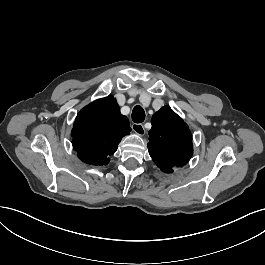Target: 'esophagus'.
Returning <instances> with one entry per match:
<instances>
[{"instance_id": "esophagus-1", "label": "esophagus", "mask_w": 265, "mask_h": 265, "mask_svg": "<svg viewBox=\"0 0 265 265\" xmlns=\"http://www.w3.org/2000/svg\"><path fill=\"white\" fill-rule=\"evenodd\" d=\"M132 130L139 136H144L146 133L144 126L140 123H133Z\"/></svg>"}]
</instances>
